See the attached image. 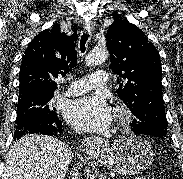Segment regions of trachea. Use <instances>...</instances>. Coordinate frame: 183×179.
Segmentation results:
<instances>
[{
    "label": "trachea",
    "mask_w": 183,
    "mask_h": 179,
    "mask_svg": "<svg viewBox=\"0 0 183 179\" xmlns=\"http://www.w3.org/2000/svg\"><path fill=\"white\" fill-rule=\"evenodd\" d=\"M88 37H89V35L85 34V33H83V35L81 36V39H80V50H81L82 53L85 52V44H86V42L88 40Z\"/></svg>",
    "instance_id": "trachea-1"
}]
</instances>
